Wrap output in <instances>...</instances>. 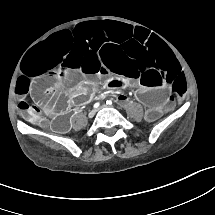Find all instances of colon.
I'll list each match as a JSON object with an SVG mask.
<instances>
[{
  "instance_id": "obj_1",
  "label": "colon",
  "mask_w": 215,
  "mask_h": 215,
  "mask_svg": "<svg viewBox=\"0 0 215 215\" xmlns=\"http://www.w3.org/2000/svg\"><path fill=\"white\" fill-rule=\"evenodd\" d=\"M57 95L56 93L48 91L43 97L40 105L42 109L48 112L50 115H55V102ZM18 109L26 116L29 120H35L38 114V107L34 103H29L26 101H20L18 103Z\"/></svg>"
}]
</instances>
